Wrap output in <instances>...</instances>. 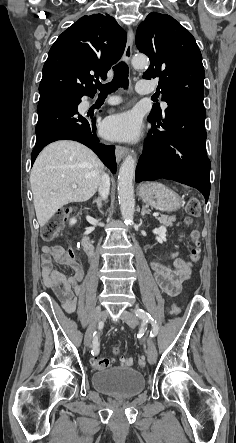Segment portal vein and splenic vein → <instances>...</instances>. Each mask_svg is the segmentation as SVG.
Here are the masks:
<instances>
[{
    "instance_id": "obj_1",
    "label": "portal vein and splenic vein",
    "mask_w": 236,
    "mask_h": 443,
    "mask_svg": "<svg viewBox=\"0 0 236 443\" xmlns=\"http://www.w3.org/2000/svg\"><path fill=\"white\" fill-rule=\"evenodd\" d=\"M72 188L76 189V188H77V185H76V184H73V185H72ZM158 215H159L158 213H153V216H154V217H157Z\"/></svg>"
}]
</instances>
